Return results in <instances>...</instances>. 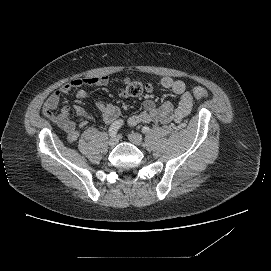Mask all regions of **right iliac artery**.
Here are the masks:
<instances>
[{"label":"right iliac artery","mask_w":271,"mask_h":271,"mask_svg":"<svg viewBox=\"0 0 271 271\" xmlns=\"http://www.w3.org/2000/svg\"><path fill=\"white\" fill-rule=\"evenodd\" d=\"M123 120H117V121H115L114 123H112V125L110 126V128H109V135L111 136V137H115L116 136V134H117V132H118V130L120 129V127L123 125Z\"/></svg>","instance_id":"obj_1"}]
</instances>
